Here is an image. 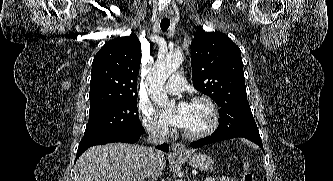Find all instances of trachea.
I'll use <instances>...</instances> for the list:
<instances>
[{
    "label": "trachea",
    "instance_id": "3493384b",
    "mask_svg": "<svg viewBox=\"0 0 333 181\" xmlns=\"http://www.w3.org/2000/svg\"><path fill=\"white\" fill-rule=\"evenodd\" d=\"M170 26V20L166 19V20H162L160 23V27L163 31H166Z\"/></svg>",
    "mask_w": 333,
    "mask_h": 181
}]
</instances>
